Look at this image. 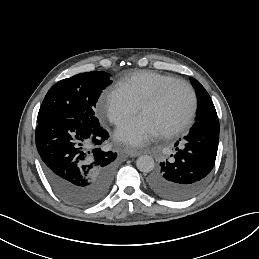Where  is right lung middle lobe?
Listing matches in <instances>:
<instances>
[{"mask_svg":"<svg viewBox=\"0 0 259 259\" xmlns=\"http://www.w3.org/2000/svg\"><path fill=\"white\" fill-rule=\"evenodd\" d=\"M109 76L104 71H91L57 82L42 102L37 123L64 118L99 125L94 107L102 90L112 82Z\"/></svg>","mask_w":259,"mask_h":259,"instance_id":"1","label":"right lung middle lobe"}]
</instances>
